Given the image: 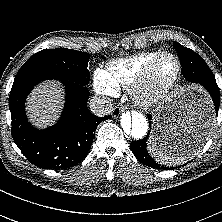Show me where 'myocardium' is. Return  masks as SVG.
<instances>
[{
	"label": "myocardium",
	"mask_w": 222,
	"mask_h": 222,
	"mask_svg": "<svg viewBox=\"0 0 222 222\" xmlns=\"http://www.w3.org/2000/svg\"><path fill=\"white\" fill-rule=\"evenodd\" d=\"M170 57L176 63V71L174 76L165 84L158 88L151 87L152 73L158 62ZM182 66L179 58L171 52H161L153 58L143 69L138 78L131 86V94L133 99L141 106L150 107L162 101L176 86L180 79Z\"/></svg>",
	"instance_id": "f54148a6"
}]
</instances>
